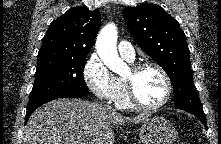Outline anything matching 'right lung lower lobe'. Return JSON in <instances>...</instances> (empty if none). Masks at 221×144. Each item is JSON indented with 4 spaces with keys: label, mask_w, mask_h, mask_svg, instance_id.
Listing matches in <instances>:
<instances>
[{
    "label": "right lung lower lobe",
    "mask_w": 221,
    "mask_h": 144,
    "mask_svg": "<svg viewBox=\"0 0 221 144\" xmlns=\"http://www.w3.org/2000/svg\"><path fill=\"white\" fill-rule=\"evenodd\" d=\"M86 95H87V93H81V92H75V91H64V92L55 93V94L51 95L50 97L46 98L45 100L41 101L38 105L31 107V108H27L25 122L28 121L30 115L33 113V111L36 108H38L39 106H41L51 100H54L57 98H81Z\"/></svg>",
    "instance_id": "98d812e1"
}]
</instances>
